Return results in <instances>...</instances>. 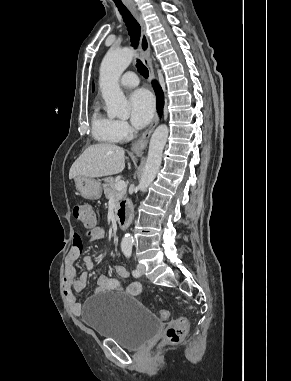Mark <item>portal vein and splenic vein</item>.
<instances>
[{
  "label": "portal vein and splenic vein",
  "mask_w": 291,
  "mask_h": 381,
  "mask_svg": "<svg viewBox=\"0 0 291 381\" xmlns=\"http://www.w3.org/2000/svg\"><path fill=\"white\" fill-rule=\"evenodd\" d=\"M125 188H126V184H125V182L123 180H120V181L116 182V184H115V189L116 190L120 191V190H123Z\"/></svg>",
  "instance_id": "1"
}]
</instances>
